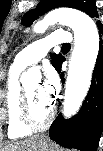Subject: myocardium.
<instances>
[{
	"mask_svg": "<svg viewBox=\"0 0 103 151\" xmlns=\"http://www.w3.org/2000/svg\"><path fill=\"white\" fill-rule=\"evenodd\" d=\"M56 114V106L52 104L48 117L43 122H37L34 120L31 112L30 99L26 90V87H22L21 90V102H20V118L22 123L32 131H40L48 128L52 123Z\"/></svg>",
	"mask_w": 103,
	"mask_h": 151,
	"instance_id": "obj_1",
	"label": "myocardium"
}]
</instances>
